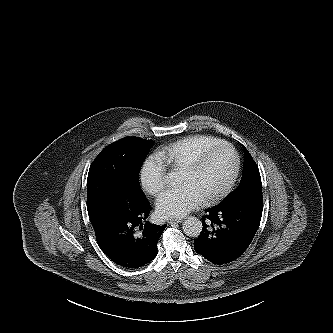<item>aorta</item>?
Instances as JSON below:
<instances>
[{
  "label": "aorta",
  "instance_id": "1",
  "mask_svg": "<svg viewBox=\"0 0 333 333\" xmlns=\"http://www.w3.org/2000/svg\"><path fill=\"white\" fill-rule=\"evenodd\" d=\"M183 232L189 237H198L202 231V222L196 217H188L183 222Z\"/></svg>",
  "mask_w": 333,
  "mask_h": 333
}]
</instances>
